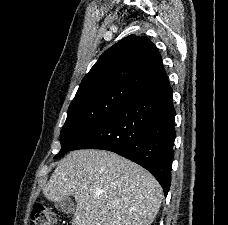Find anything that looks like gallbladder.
<instances>
[{"label": "gallbladder", "instance_id": "gallbladder-1", "mask_svg": "<svg viewBox=\"0 0 228 225\" xmlns=\"http://www.w3.org/2000/svg\"><path fill=\"white\" fill-rule=\"evenodd\" d=\"M55 209L57 211H62L65 215H72L74 209V201L68 197V199H63V201H55Z\"/></svg>", "mask_w": 228, "mask_h": 225}]
</instances>
